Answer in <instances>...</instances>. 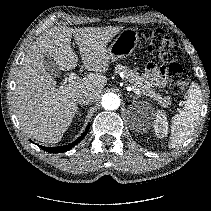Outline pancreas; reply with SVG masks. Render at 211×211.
Returning <instances> with one entry per match:
<instances>
[{"label": "pancreas", "instance_id": "pancreas-1", "mask_svg": "<svg viewBox=\"0 0 211 211\" xmlns=\"http://www.w3.org/2000/svg\"><path fill=\"white\" fill-rule=\"evenodd\" d=\"M117 72H122L125 75L126 80L135 88L139 89V91L157 101L162 107L168 108L171 105V98L169 96H162L157 93L151 85L142 78L137 70L130 69L127 66L118 64L115 67Z\"/></svg>", "mask_w": 211, "mask_h": 211}]
</instances>
